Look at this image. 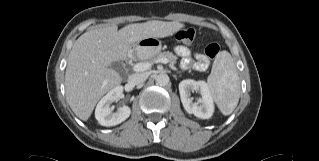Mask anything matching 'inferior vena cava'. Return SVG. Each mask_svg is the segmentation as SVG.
Listing matches in <instances>:
<instances>
[{
	"label": "inferior vena cava",
	"instance_id": "602c4592",
	"mask_svg": "<svg viewBox=\"0 0 319 161\" xmlns=\"http://www.w3.org/2000/svg\"><path fill=\"white\" fill-rule=\"evenodd\" d=\"M147 79V74L145 73H135L128 77V83L131 85H139Z\"/></svg>",
	"mask_w": 319,
	"mask_h": 161
}]
</instances>
